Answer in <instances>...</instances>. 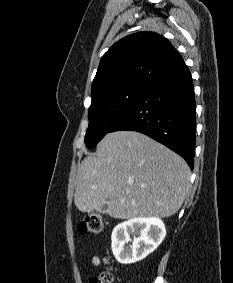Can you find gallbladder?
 <instances>
[{"instance_id":"1","label":"gallbladder","mask_w":233,"mask_h":283,"mask_svg":"<svg viewBox=\"0 0 233 283\" xmlns=\"http://www.w3.org/2000/svg\"><path fill=\"white\" fill-rule=\"evenodd\" d=\"M103 209L105 210V209H106V206H104Z\"/></svg>"}]
</instances>
